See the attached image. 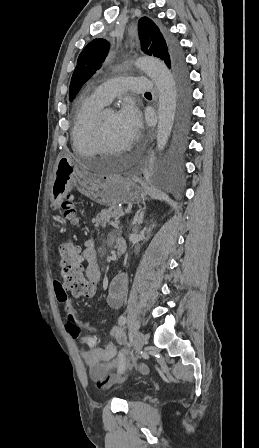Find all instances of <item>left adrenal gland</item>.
<instances>
[{
  "instance_id": "obj_1",
  "label": "left adrenal gland",
  "mask_w": 259,
  "mask_h": 448,
  "mask_svg": "<svg viewBox=\"0 0 259 448\" xmlns=\"http://www.w3.org/2000/svg\"><path fill=\"white\" fill-rule=\"evenodd\" d=\"M144 212H145V210H142V212H140V214L138 216V222H137L138 226H140V224H142V222H143Z\"/></svg>"
}]
</instances>
